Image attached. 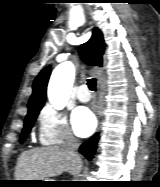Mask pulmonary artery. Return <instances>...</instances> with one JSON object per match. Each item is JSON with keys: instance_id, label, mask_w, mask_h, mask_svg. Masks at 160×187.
Here are the masks:
<instances>
[{"instance_id": "e3ab8cb5", "label": "pulmonary artery", "mask_w": 160, "mask_h": 187, "mask_svg": "<svg viewBox=\"0 0 160 187\" xmlns=\"http://www.w3.org/2000/svg\"><path fill=\"white\" fill-rule=\"evenodd\" d=\"M76 96L81 102H88L90 100V94L87 92L86 85H81L76 92Z\"/></svg>"}]
</instances>
